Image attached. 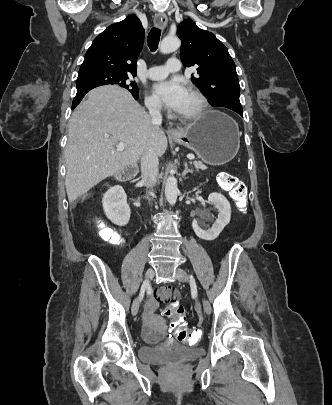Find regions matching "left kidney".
Segmentation results:
<instances>
[{
  "instance_id": "left-kidney-1",
  "label": "left kidney",
  "mask_w": 332,
  "mask_h": 405,
  "mask_svg": "<svg viewBox=\"0 0 332 405\" xmlns=\"http://www.w3.org/2000/svg\"><path fill=\"white\" fill-rule=\"evenodd\" d=\"M208 202L213 204L218 210V218L213 222L212 227L207 230L201 228L204 223L203 221L197 219L193 220L192 227L195 234L200 239L212 241L219 236L224 227L230 222L231 206L225 196L219 193H211L208 197ZM202 217L205 219H211V215L208 213H203Z\"/></svg>"
}]
</instances>
